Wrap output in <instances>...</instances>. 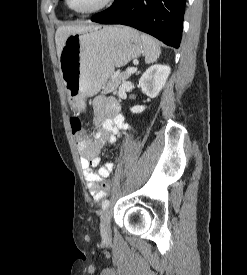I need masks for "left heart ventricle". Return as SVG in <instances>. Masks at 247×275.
<instances>
[{"label":"left heart ventricle","instance_id":"b2bd125f","mask_svg":"<svg viewBox=\"0 0 247 275\" xmlns=\"http://www.w3.org/2000/svg\"><path fill=\"white\" fill-rule=\"evenodd\" d=\"M102 1L103 0H69V4L75 10L84 11L97 6Z\"/></svg>","mask_w":247,"mask_h":275}]
</instances>
